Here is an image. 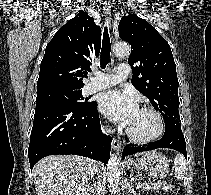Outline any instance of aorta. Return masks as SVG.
<instances>
[{
	"label": "aorta",
	"mask_w": 211,
	"mask_h": 195,
	"mask_svg": "<svg viewBox=\"0 0 211 195\" xmlns=\"http://www.w3.org/2000/svg\"><path fill=\"white\" fill-rule=\"evenodd\" d=\"M131 48L125 42H117L113 45V53L117 57H125L130 54ZM120 158L117 154H112L107 164L108 187L111 193H116L120 179Z\"/></svg>",
	"instance_id": "obj_1"
}]
</instances>
